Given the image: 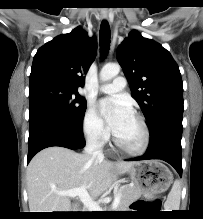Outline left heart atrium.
<instances>
[{"label":"left heart atrium","mask_w":203,"mask_h":219,"mask_svg":"<svg viewBox=\"0 0 203 219\" xmlns=\"http://www.w3.org/2000/svg\"><path fill=\"white\" fill-rule=\"evenodd\" d=\"M98 106L113 133L132 115L130 104L122 97L102 99Z\"/></svg>","instance_id":"39dd6f15"}]
</instances>
